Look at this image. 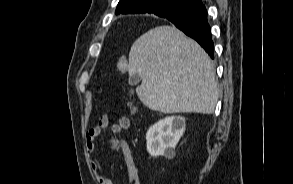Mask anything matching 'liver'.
Listing matches in <instances>:
<instances>
[{
  "instance_id": "6515ba94",
  "label": "liver",
  "mask_w": 293,
  "mask_h": 184,
  "mask_svg": "<svg viewBox=\"0 0 293 184\" xmlns=\"http://www.w3.org/2000/svg\"><path fill=\"white\" fill-rule=\"evenodd\" d=\"M128 72L141 77L136 93L153 111L214 112V66L204 49L174 26L155 27L140 36L130 49Z\"/></svg>"
}]
</instances>
